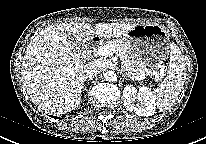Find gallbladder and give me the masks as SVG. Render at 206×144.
I'll return each instance as SVG.
<instances>
[{"label": "gallbladder", "mask_w": 206, "mask_h": 144, "mask_svg": "<svg viewBox=\"0 0 206 144\" xmlns=\"http://www.w3.org/2000/svg\"><path fill=\"white\" fill-rule=\"evenodd\" d=\"M67 41H68L70 44H72L73 41H74V39H73V37H72L71 35H68Z\"/></svg>", "instance_id": "1"}]
</instances>
